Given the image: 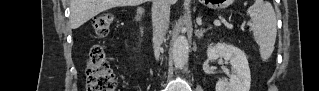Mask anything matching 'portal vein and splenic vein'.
<instances>
[{"mask_svg": "<svg viewBox=\"0 0 319 91\" xmlns=\"http://www.w3.org/2000/svg\"><path fill=\"white\" fill-rule=\"evenodd\" d=\"M214 25H215V26H220V25H221V22L218 21V20H216V21H214Z\"/></svg>", "mask_w": 319, "mask_h": 91, "instance_id": "obj_1", "label": "portal vein and splenic vein"}]
</instances>
